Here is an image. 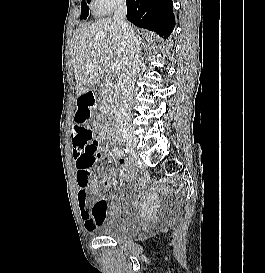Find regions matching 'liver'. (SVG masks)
Here are the masks:
<instances>
[{
	"instance_id": "1",
	"label": "liver",
	"mask_w": 265,
	"mask_h": 273,
	"mask_svg": "<svg viewBox=\"0 0 265 273\" xmlns=\"http://www.w3.org/2000/svg\"><path fill=\"white\" fill-rule=\"evenodd\" d=\"M148 42L151 44L153 39L149 37ZM113 58L124 65L126 45L111 18L99 19L76 30L71 41V62L77 96L100 82Z\"/></svg>"
}]
</instances>
